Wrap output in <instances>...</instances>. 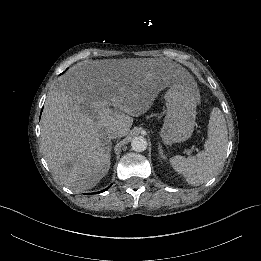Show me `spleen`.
Instances as JSON below:
<instances>
[{
    "mask_svg": "<svg viewBox=\"0 0 261 261\" xmlns=\"http://www.w3.org/2000/svg\"><path fill=\"white\" fill-rule=\"evenodd\" d=\"M208 137L205 140V153L185 158L173 156L170 166L192 186L209 181L223 166L226 156L228 132L222 112L214 108L208 125Z\"/></svg>",
    "mask_w": 261,
    "mask_h": 261,
    "instance_id": "1",
    "label": "spleen"
}]
</instances>
